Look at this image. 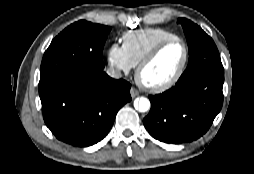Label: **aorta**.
<instances>
[{
    "label": "aorta",
    "instance_id": "762f6f07",
    "mask_svg": "<svg viewBox=\"0 0 254 174\" xmlns=\"http://www.w3.org/2000/svg\"><path fill=\"white\" fill-rule=\"evenodd\" d=\"M150 101L145 97L135 99L134 107L139 112H146L150 109Z\"/></svg>",
    "mask_w": 254,
    "mask_h": 174
}]
</instances>
